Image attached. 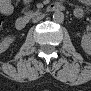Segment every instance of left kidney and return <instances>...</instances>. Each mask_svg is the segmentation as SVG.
Instances as JSON below:
<instances>
[{
  "instance_id": "1",
  "label": "left kidney",
  "mask_w": 91,
  "mask_h": 91,
  "mask_svg": "<svg viewBox=\"0 0 91 91\" xmlns=\"http://www.w3.org/2000/svg\"><path fill=\"white\" fill-rule=\"evenodd\" d=\"M81 46L86 53L91 52V39L88 35H83L81 40Z\"/></svg>"
}]
</instances>
